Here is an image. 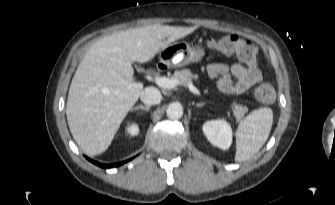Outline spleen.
Wrapping results in <instances>:
<instances>
[{
  "label": "spleen",
  "mask_w": 335,
  "mask_h": 205,
  "mask_svg": "<svg viewBox=\"0 0 335 205\" xmlns=\"http://www.w3.org/2000/svg\"><path fill=\"white\" fill-rule=\"evenodd\" d=\"M272 124L273 112L270 108L254 110L240 122L236 130V162L248 160L262 148Z\"/></svg>",
  "instance_id": "1"
}]
</instances>
